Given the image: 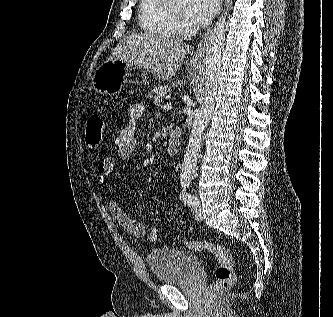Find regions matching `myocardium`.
I'll list each match as a JSON object with an SVG mask.
<instances>
[{"label":"myocardium","instance_id":"1","mask_svg":"<svg viewBox=\"0 0 333 317\" xmlns=\"http://www.w3.org/2000/svg\"><path fill=\"white\" fill-rule=\"evenodd\" d=\"M167 9L171 15V17L176 21V22H180L181 21V16L177 15L170 6L167 5Z\"/></svg>","mask_w":333,"mask_h":317}]
</instances>
